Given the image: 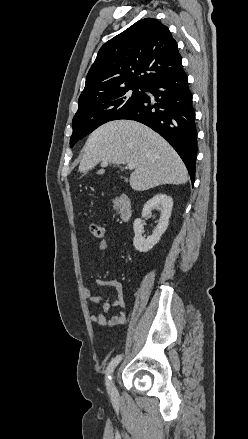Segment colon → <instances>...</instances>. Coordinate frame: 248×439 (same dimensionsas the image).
Returning <instances> with one entry per match:
<instances>
[{
	"mask_svg": "<svg viewBox=\"0 0 248 439\" xmlns=\"http://www.w3.org/2000/svg\"><path fill=\"white\" fill-rule=\"evenodd\" d=\"M90 232L95 239H102L104 235V229L100 224L92 223L90 225Z\"/></svg>",
	"mask_w": 248,
	"mask_h": 439,
	"instance_id": "1",
	"label": "colon"
}]
</instances>
